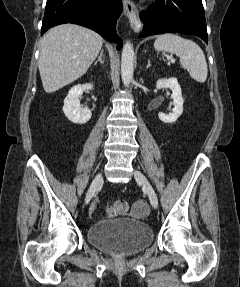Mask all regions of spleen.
Listing matches in <instances>:
<instances>
[{
	"label": "spleen",
	"instance_id": "obj_1",
	"mask_svg": "<svg viewBox=\"0 0 240 287\" xmlns=\"http://www.w3.org/2000/svg\"><path fill=\"white\" fill-rule=\"evenodd\" d=\"M154 47L157 51L176 54L180 58L181 66L188 70L191 78L199 83L206 81L208 68L205 55L194 41L174 33H165L156 39Z\"/></svg>",
	"mask_w": 240,
	"mask_h": 287
}]
</instances>
